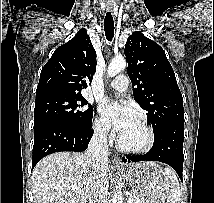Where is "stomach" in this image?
<instances>
[{"label":"stomach","mask_w":214,"mask_h":203,"mask_svg":"<svg viewBox=\"0 0 214 203\" xmlns=\"http://www.w3.org/2000/svg\"><path fill=\"white\" fill-rule=\"evenodd\" d=\"M122 173L136 194L137 203H165L168 199L171 183L156 163L139 162Z\"/></svg>","instance_id":"obj_1"}]
</instances>
